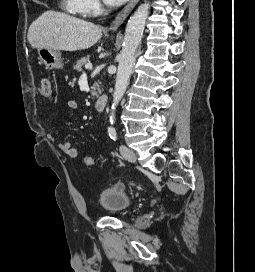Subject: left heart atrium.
<instances>
[{
  "label": "left heart atrium",
  "instance_id": "left-heart-atrium-1",
  "mask_svg": "<svg viewBox=\"0 0 255 272\" xmlns=\"http://www.w3.org/2000/svg\"><path fill=\"white\" fill-rule=\"evenodd\" d=\"M109 6L121 5L126 0H103Z\"/></svg>",
  "mask_w": 255,
  "mask_h": 272
}]
</instances>
